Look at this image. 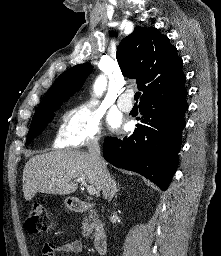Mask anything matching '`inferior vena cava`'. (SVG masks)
I'll list each match as a JSON object with an SVG mask.
<instances>
[{"label":"inferior vena cava","instance_id":"obj_1","mask_svg":"<svg viewBox=\"0 0 221 256\" xmlns=\"http://www.w3.org/2000/svg\"><path fill=\"white\" fill-rule=\"evenodd\" d=\"M99 139H100L99 137H95L92 139L91 144L89 146V153L98 164V167L100 170V182H101L103 197L107 199L110 197L111 177L101 157Z\"/></svg>","mask_w":221,"mask_h":256}]
</instances>
